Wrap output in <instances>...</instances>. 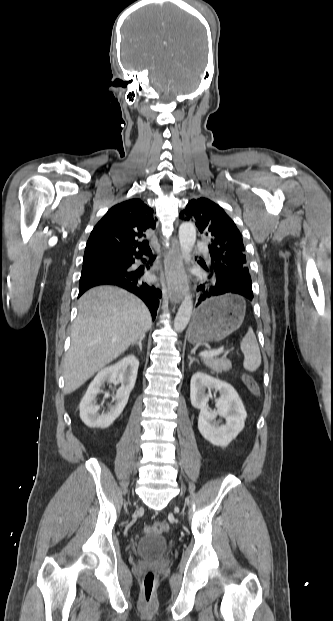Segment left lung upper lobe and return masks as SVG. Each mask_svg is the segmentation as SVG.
Instances as JSON below:
<instances>
[{"mask_svg": "<svg viewBox=\"0 0 333 621\" xmlns=\"http://www.w3.org/2000/svg\"><path fill=\"white\" fill-rule=\"evenodd\" d=\"M180 217L194 222L200 233L210 238V263L249 272L240 231L218 204L203 197L192 199Z\"/></svg>", "mask_w": 333, "mask_h": 621, "instance_id": "1", "label": "left lung upper lobe"}]
</instances>
